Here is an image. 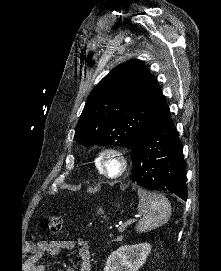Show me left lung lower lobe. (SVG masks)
Masks as SVG:
<instances>
[{
	"instance_id": "1",
	"label": "left lung lower lobe",
	"mask_w": 221,
	"mask_h": 271,
	"mask_svg": "<svg viewBox=\"0 0 221 271\" xmlns=\"http://www.w3.org/2000/svg\"><path fill=\"white\" fill-rule=\"evenodd\" d=\"M132 181L187 200L186 163L170 113L149 127L131 146Z\"/></svg>"
}]
</instances>
